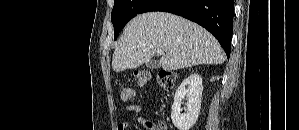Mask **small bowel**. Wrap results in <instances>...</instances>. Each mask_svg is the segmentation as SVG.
Segmentation results:
<instances>
[{
  "instance_id": "c3829d8e",
  "label": "small bowel",
  "mask_w": 299,
  "mask_h": 130,
  "mask_svg": "<svg viewBox=\"0 0 299 130\" xmlns=\"http://www.w3.org/2000/svg\"><path fill=\"white\" fill-rule=\"evenodd\" d=\"M141 109L142 108L139 104H131V105L124 107V110L126 112H131V113L138 115L137 122L139 124H141L142 126H144L145 128H147L149 130H154L155 124L152 121L148 120L147 118L139 115L141 112ZM165 128H166V126H165ZM128 129H129V125L127 123H120L117 126V130H128Z\"/></svg>"
}]
</instances>
